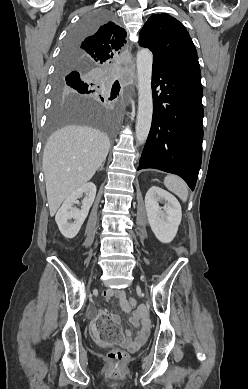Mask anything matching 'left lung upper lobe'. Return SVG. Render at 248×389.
Returning <instances> with one entry per match:
<instances>
[{
    "instance_id": "5c2ea615",
    "label": "left lung upper lobe",
    "mask_w": 248,
    "mask_h": 389,
    "mask_svg": "<svg viewBox=\"0 0 248 389\" xmlns=\"http://www.w3.org/2000/svg\"><path fill=\"white\" fill-rule=\"evenodd\" d=\"M139 44L153 52V63L160 66L198 64L196 48L187 30L168 14L152 15L140 32Z\"/></svg>"
}]
</instances>
